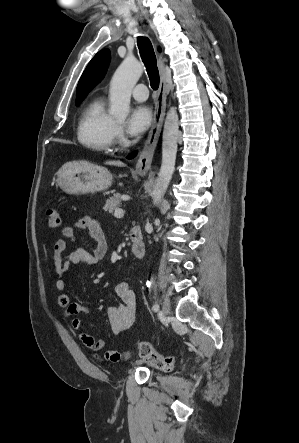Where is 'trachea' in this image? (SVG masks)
<instances>
[{
  "instance_id": "1",
  "label": "trachea",
  "mask_w": 299,
  "mask_h": 443,
  "mask_svg": "<svg viewBox=\"0 0 299 443\" xmlns=\"http://www.w3.org/2000/svg\"><path fill=\"white\" fill-rule=\"evenodd\" d=\"M137 44L141 59L149 76L150 85L153 90H157L160 79L156 63V56L151 41L147 37H138Z\"/></svg>"
}]
</instances>
